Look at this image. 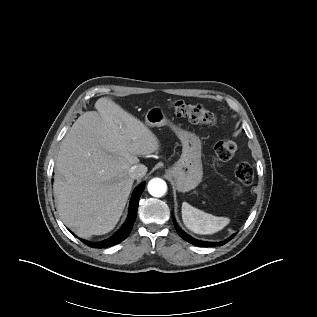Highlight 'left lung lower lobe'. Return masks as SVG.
<instances>
[{"label":"left lung lower lobe","instance_id":"obj_1","mask_svg":"<svg viewBox=\"0 0 317 317\" xmlns=\"http://www.w3.org/2000/svg\"><path fill=\"white\" fill-rule=\"evenodd\" d=\"M173 223L174 226L178 232V234L180 235V237H182L184 240H186L187 242L196 245V246H202V247H215V246H222L225 243H227L228 241H230L235 234H233L231 237H229L227 240L221 241V242H205V241H200L197 240L193 237H191L190 235L186 234L181 228H179V226L177 225L175 219L173 218Z\"/></svg>","mask_w":317,"mask_h":317}]
</instances>
